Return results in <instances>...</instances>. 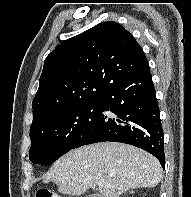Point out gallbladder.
Segmentation results:
<instances>
[{
    "instance_id": "1",
    "label": "gallbladder",
    "mask_w": 191,
    "mask_h": 197,
    "mask_svg": "<svg viewBox=\"0 0 191 197\" xmlns=\"http://www.w3.org/2000/svg\"><path fill=\"white\" fill-rule=\"evenodd\" d=\"M87 197H98V196H96V195H89V196H87Z\"/></svg>"
}]
</instances>
